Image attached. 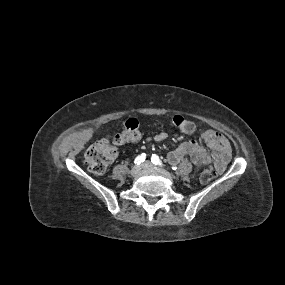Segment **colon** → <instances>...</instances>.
<instances>
[{"mask_svg": "<svg viewBox=\"0 0 285 285\" xmlns=\"http://www.w3.org/2000/svg\"><path fill=\"white\" fill-rule=\"evenodd\" d=\"M172 122L184 134L190 135L195 132V123L184 116L177 115ZM139 139L138 120L134 118L128 119L122 129L113 137L112 141L102 139L88 148L84 157L85 164L92 173L101 175L106 172L116 157L115 146H124ZM216 175L214 168L209 166L201 173L200 181L204 184L209 183Z\"/></svg>", "mask_w": 285, "mask_h": 285, "instance_id": "5ec220e1", "label": "colon"}]
</instances>
